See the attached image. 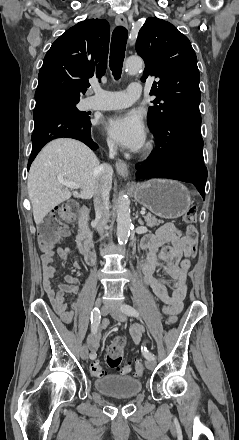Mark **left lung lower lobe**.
<instances>
[{
    "label": "left lung lower lobe",
    "instance_id": "obj_1",
    "mask_svg": "<svg viewBox=\"0 0 239 440\" xmlns=\"http://www.w3.org/2000/svg\"><path fill=\"white\" fill-rule=\"evenodd\" d=\"M199 111L182 110L164 119L152 131L156 149L140 166L136 177L169 178L193 183L205 199L207 168L203 160V139Z\"/></svg>",
    "mask_w": 239,
    "mask_h": 440
}]
</instances>
